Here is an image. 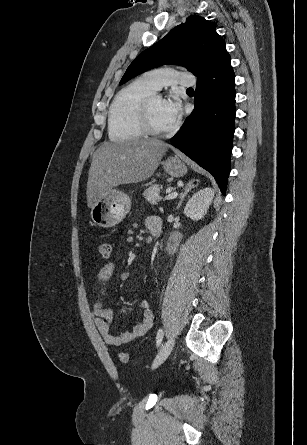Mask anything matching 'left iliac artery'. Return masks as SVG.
Masks as SVG:
<instances>
[{
	"instance_id": "obj_1",
	"label": "left iliac artery",
	"mask_w": 307,
	"mask_h": 445,
	"mask_svg": "<svg viewBox=\"0 0 307 445\" xmlns=\"http://www.w3.org/2000/svg\"><path fill=\"white\" fill-rule=\"evenodd\" d=\"M163 335H164V332H163V330L160 328V329L158 330V332H157V337H156V345H157V347L161 344L162 339H163Z\"/></svg>"
}]
</instances>
